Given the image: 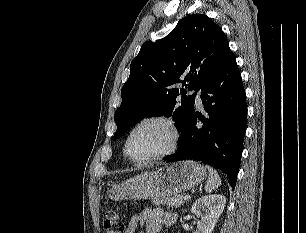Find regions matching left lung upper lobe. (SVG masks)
Masks as SVG:
<instances>
[{"label":"left lung upper lobe","mask_w":306,"mask_h":233,"mask_svg":"<svg viewBox=\"0 0 306 233\" xmlns=\"http://www.w3.org/2000/svg\"><path fill=\"white\" fill-rule=\"evenodd\" d=\"M229 50L221 28L202 14L188 15L155 43L145 42L131 62L129 79L121 90L113 139L143 118L160 115H172L180 132L194 112L196 92L219 68ZM179 82L184 88H175ZM186 90H195V94L186 97ZM179 95H183L182 103L177 107Z\"/></svg>","instance_id":"left-lung-upper-lobe-1"}]
</instances>
